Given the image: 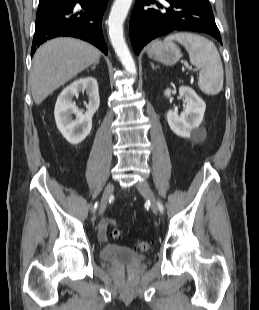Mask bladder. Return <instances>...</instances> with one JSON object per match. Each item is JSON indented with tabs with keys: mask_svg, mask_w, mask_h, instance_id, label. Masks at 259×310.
Masks as SVG:
<instances>
[{
	"mask_svg": "<svg viewBox=\"0 0 259 310\" xmlns=\"http://www.w3.org/2000/svg\"><path fill=\"white\" fill-rule=\"evenodd\" d=\"M101 260L118 265H132L141 263L145 260V256L134 252L133 250L116 245L106 244L99 252Z\"/></svg>",
	"mask_w": 259,
	"mask_h": 310,
	"instance_id": "bladder-1",
	"label": "bladder"
}]
</instances>
